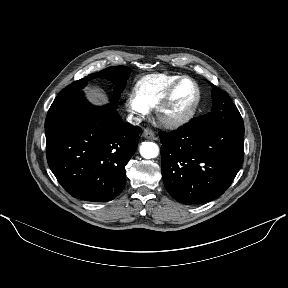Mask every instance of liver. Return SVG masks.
Instances as JSON below:
<instances>
[{"label":"liver","mask_w":288,"mask_h":288,"mask_svg":"<svg viewBox=\"0 0 288 288\" xmlns=\"http://www.w3.org/2000/svg\"><path fill=\"white\" fill-rule=\"evenodd\" d=\"M88 97L91 102L101 105L107 102V98L104 94L99 92L98 90L95 89H88Z\"/></svg>","instance_id":"obj_1"}]
</instances>
